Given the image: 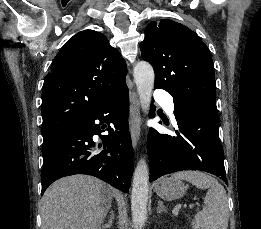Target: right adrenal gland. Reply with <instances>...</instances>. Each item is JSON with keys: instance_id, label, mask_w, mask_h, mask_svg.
I'll list each match as a JSON object with an SVG mask.
<instances>
[{"instance_id": "2a0ac1e0", "label": "right adrenal gland", "mask_w": 261, "mask_h": 229, "mask_svg": "<svg viewBox=\"0 0 261 229\" xmlns=\"http://www.w3.org/2000/svg\"><path fill=\"white\" fill-rule=\"evenodd\" d=\"M113 219H114V211H111V215L109 217V221L107 225H103L102 229H112L113 227Z\"/></svg>"}]
</instances>
